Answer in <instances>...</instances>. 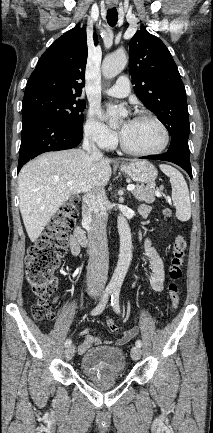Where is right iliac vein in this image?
<instances>
[{
	"label": "right iliac vein",
	"instance_id": "obj_1",
	"mask_svg": "<svg viewBox=\"0 0 213 433\" xmlns=\"http://www.w3.org/2000/svg\"><path fill=\"white\" fill-rule=\"evenodd\" d=\"M74 353H75V347L73 345L68 346L64 352L66 360L68 361L71 360L74 356Z\"/></svg>",
	"mask_w": 213,
	"mask_h": 433
}]
</instances>
